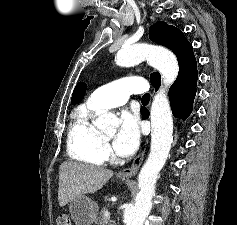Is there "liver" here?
<instances>
[{
  "label": "liver",
  "mask_w": 237,
  "mask_h": 225,
  "mask_svg": "<svg viewBox=\"0 0 237 225\" xmlns=\"http://www.w3.org/2000/svg\"><path fill=\"white\" fill-rule=\"evenodd\" d=\"M112 176V170L72 161L63 162L59 168L60 207H64L77 196L95 193Z\"/></svg>",
  "instance_id": "1"
}]
</instances>
